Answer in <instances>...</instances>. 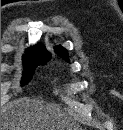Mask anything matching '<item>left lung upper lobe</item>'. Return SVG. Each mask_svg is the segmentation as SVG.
I'll return each instance as SVG.
<instances>
[{
	"mask_svg": "<svg viewBox=\"0 0 123 130\" xmlns=\"http://www.w3.org/2000/svg\"><path fill=\"white\" fill-rule=\"evenodd\" d=\"M55 51L59 54V56L63 57L67 62H69L67 51L62 47H57Z\"/></svg>",
	"mask_w": 123,
	"mask_h": 130,
	"instance_id": "obj_1",
	"label": "left lung upper lobe"
}]
</instances>
